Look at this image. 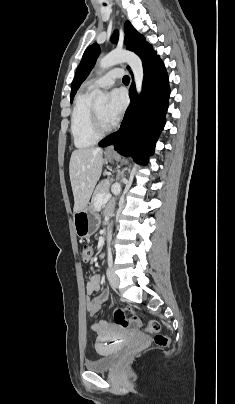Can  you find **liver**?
<instances>
[{
  "mask_svg": "<svg viewBox=\"0 0 235 404\" xmlns=\"http://www.w3.org/2000/svg\"><path fill=\"white\" fill-rule=\"evenodd\" d=\"M103 150H74L69 163V175L74 196V213L87 207L103 168Z\"/></svg>",
  "mask_w": 235,
  "mask_h": 404,
  "instance_id": "1",
  "label": "liver"
}]
</instances>
